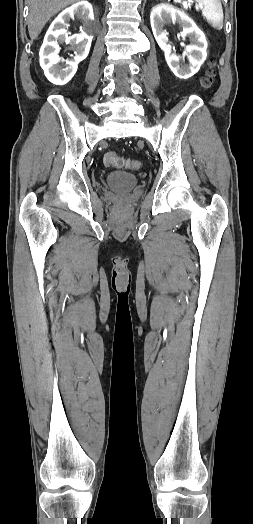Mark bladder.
I'll list each match as a JSON object with an SVG mask.
<instances>
[{
	"label": "bladder",
	"mask_w": 253,
	"mask_h": 524,
	"mask_svg": "<svg viewBox=\"0 0 253 524\" xmlns=\"http://www.w3.org/2000/svg\"><path fill=\"white\" fill-rule=\"evenodd\" d=\"M139 184L138 178L130 173L114 171L107 175L105 185L116 191H129Z\"/></svg>",
	"instance_id": "bladder-1"
}]
</instances>
